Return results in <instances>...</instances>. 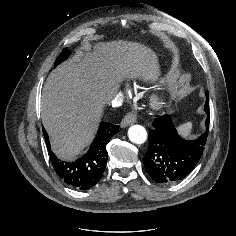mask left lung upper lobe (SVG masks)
<instances>
[{
	"instance_id": "5c2ea615",
	"label": "left lung upper lobe",
	"mask_w": 236,
	"mask_h": 236,
	"mask_svg": "<svg viewBox=\"0 0 236 236\" xmlns=\"http://www.w3.org/2000/svg\"><path fill=\"white\" fill-rule=\"evenodd\" d=\"M206 96H207V101H206V103H205L204 110H205V111H208V110H209V97H208V92H206Z\"/></svg>"
}]
</instances>
